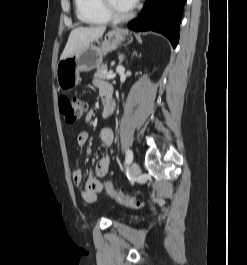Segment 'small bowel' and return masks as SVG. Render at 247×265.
<instances>
[{
  "label": "small bowel",
  "instance_id": "c3829d8e",
  "mask_svg": "<svg viewBox=\"0 0 247 265\" xmlns=\"http://www.w3.org/2000/svg\"><path fill=\"white\" fill-rule=\"evenodd\" d=\"M94 84L96 87H98V89L103 95L107 90L111 91V87L107 83L96 80ZM114 108L115 104L112 98L109 116L113 114ZM92 116H93V110H90L86 116V120L90 121ZM99 137L104 147H109L113 142V133L109 128H103L100 131ZM88 140H89L88 132L83 131L78 134L77 142L79 146L86 145ZM109 169H110V158L108 156H105L97 162L95 173L98 177H104L109 172ZM72 180L75 185H80L83 182V172L81 168L75 169V171L72 174ZM103 190L104 188L102 182L99 179L94 178L93 173L90 172L85 182L81 195L85 202L94 203L98 199V194L103 192Z\"/></svg>",
  "mask_w": 247,
  "mask_h": 265
}]
</instances>
